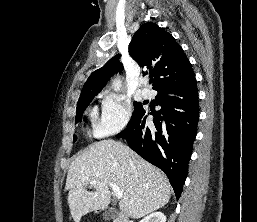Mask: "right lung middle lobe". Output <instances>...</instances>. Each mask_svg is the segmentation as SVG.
<instances>
[{"label":"right lung middle lobe","instance_id":"right-lung-middle-lobe-1","mask_svg":"<svg viewBox=\"0 0 257 222\" xmlns=\"http://www.w3.org/2000/svg\"><path fill=\"white\" fill-rule=\"evenodd\" d=\"M92 99H93V97L86 98L85 100L81 101V103H79L77 105V114H76V118H75L76 123L81 121L83 112L86 109V107L89 105V103L92 101ZM143 110L144 109H143V106L141 103L134 102V113L131 117V120H130L128 126L131 125L135 121V119L139 116V114L141 112H143ZM76 139H77V137L74 135V141H76Z\"/></svg>","mask_w":257,"mask_h":222}]
</instances>
